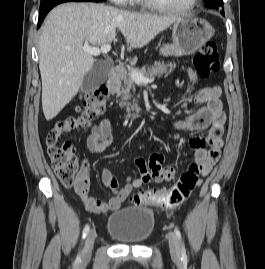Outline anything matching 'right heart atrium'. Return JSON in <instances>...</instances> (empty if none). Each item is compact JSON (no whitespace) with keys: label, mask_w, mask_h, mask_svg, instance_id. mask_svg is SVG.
Listing matches in <instances>:
<instances>
[{"label":"right heart atrium","mask_w":265,"mask_h":269,"mask_svg":"<svg viewBox=\"0 0 265 269\" xmlns=\"http://www.w3.org/2000/svg\"><path fill=\"white\" fill-rule=\"evenodd\" d=\"M113 4L115 5H120V6H123V5H126L128 3L131 2V0H110Z\"/></svg>","instance_id":"obj_1"}]
</instances>
